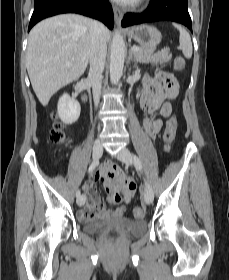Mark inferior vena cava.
<instances>
[{
	"label": "inferior vena cava",
	"mask_w": 229,
	"mask_h": 280,
	"mask_svg": "<svg viewBox=\"0 0 229 280\" xmlns=\"http://www.w3.org/2000/svg\"><path fill=\"white\" fill-rule=\"evenodd\" d=\"M105 26L98 22L92 21L90 27L91 51H90V69L88 81L92 85L94 103L97 106L101 93L102 73L105 66L107 53V44L105 37Z\"/></svg>",
	"instance_id": "602c4592"
}]
</instances>
